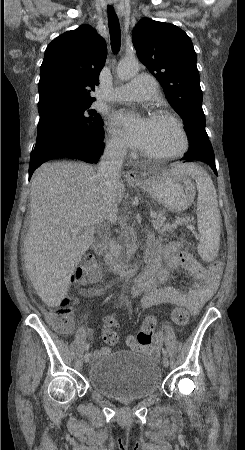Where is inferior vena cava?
Instances as JSON below:
<instances>
[{"mask_svg":"<svg viewBox=\"0 0 245 450\" xmlns=\"http://www.w3.org/2000/svg\"><path fill=\"white\" fill-rule=\"evenodd\" d=\"M126 146L117 141L108 143L101 157L97 170L100 191L108 206L107 218L111 223L117 220L118 208L115 203V192L119 182V171L122 167Z\"/></svg>","mask_w":245,"mask_h":450,"instance_id":"602c4592","label":"inferior vena cava"}]
</instances>
